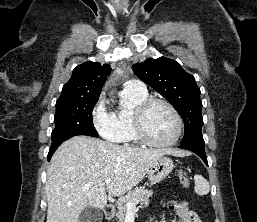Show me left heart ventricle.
Returning <instances> with one entry per match:
<instances>
[{
    "mask_svg": "<svg viewBox=\"0 0 257 222\" xmlns=\"http://www.w3.org/2000/svg\"><path fill=\"white\" fill-rule=\"evenodd\" d=\"M145 129L148 136L157 142H165L176 133V121L171 111L162 104L151 107L145 118Z\"/></svg>",
    "mask_w": 257,
    "mask_h": 222,
    "instance_id": "b2bd125f",
    "label": "left heart ventricle"
}]
</instances>
